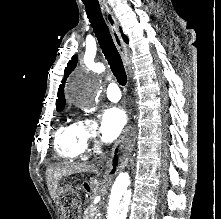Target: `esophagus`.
<instances>
[{
  "instance_id": "obj_1",
  "label": "esophagus",
  "mask_w": 221,
  "mask_h": 219,
  "mask_svg": "<svg viewBox=\"0 0 221 219\" xmlns=\"http://www.w3.org/2000/svg\"><path fill=\"white\" fill-rule=\"evenodd\" d=\"M102 7L105 11L106 19H107L108 25L110 27L114 43H115L119 53L122 56L125 66H127L128 65L127 47H126V44L124 43V41L120 35L119 29L117 26V22L112 14L110 8L108 7V5L103 4Z\"/></svg>"
}]
</instances>
